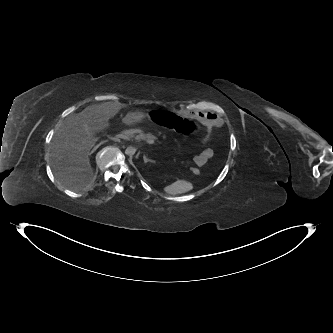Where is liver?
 I'll list each match as a JSON object with an SVG mask.
<instances>
[{"mask_svg": "<svg viewBox=\"0 0 333 333\" xmlns=\"http://www.w3.org/2000/svg\"><path fill=\"white\" fill-rule=\"evenodd\" d=\"M122 104L104 102L86 107L78 114L65 119L54 134L50 145V163L55 178L62 185L78 191L94 180V171L89 155L96 143L93 135L108 129L109 120L119 113ZM147 115L143 112H128L122 119L126 126L142 122Z\"/></svg>", "mask_w": 333, "mask_h": 333, "instance_id": "liver-1", "label": "liver"}]
</instances>
